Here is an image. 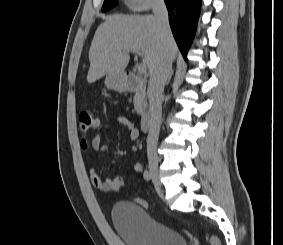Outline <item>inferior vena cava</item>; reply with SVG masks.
I'll return each instance as SVG.
<instances>
[{
    "instance_id": "602c4592",
    "label": "inferior vena cava",
    "mask_w": 283,
    "mask_h": 245,
    "mask_svg": "<svg viewBox=\"0 0 283 245\" xmlns=\"http://www.w3.org/2000/svg\"><path fill=\"white\" fill-rule=\"evenodd\" d=\"M152 10L160 27L161 38L167 41L172 36L168 11L163 0H153ZM172 61L168 50H165L160 62L150 75L148 84L149 98V131L147 136V156L149 160H157V143L162 119V93L171 73Z\"/></svg>"
}]
</instances>
